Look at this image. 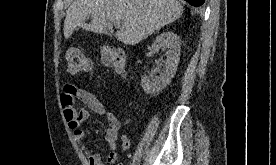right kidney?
Segmentation results:
<instances>
[{
    "mask_svg": "<svg viewBox=\"0 0 276 165\" xmlns=\"http://www.w3.org/2000/svg\"><path fill=\"white\" fill-rule=\"evenodd\" d=\"M162 49L166 51V59L163 61L164 71L153 82L147 76L141 79V86L146 94L157 95L171 83L180 60V39L171 31L163 32L154 41L152 51L157 53Z\"/></svg>",
    "mask_w": 276,
    "mask_h": 165,
    "instance_id": "1",
    "label": "right kidney"
}]
</instances>
